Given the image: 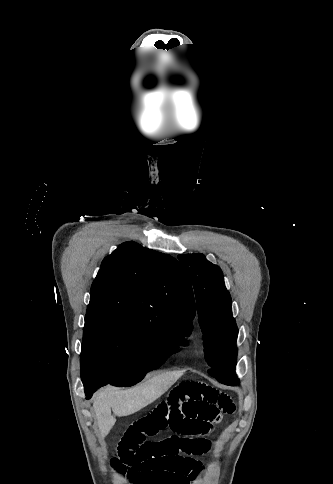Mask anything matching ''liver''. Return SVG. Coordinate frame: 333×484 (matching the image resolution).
<instances>
[{
	"instance_id": "1",
	"label": "liver",
	"mask_w": 333,
	"mask_h": 484,
	"mask_svg": "<svg viewBox=\"0 0 333 484\" xmlns=\"http://www.w3.org/2000/svg\"><path fill=\"white\" fill-rule=\"evenodd\" d=\"M182 375L183 371H171L130 389L122 390L112 386L102 388L93 402L102 438L116 422L111 415V408L119 417L134 414L161 397Z\"/></svg>"
}]
</instances>
